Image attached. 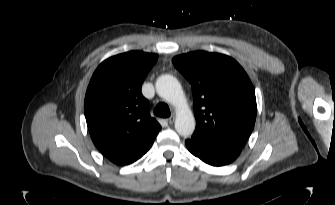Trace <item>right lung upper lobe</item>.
I'll return each mask as SVG.
<instances>
[{
    "mask_svg": "<svg viewBox=\"0 0 335 205\" xmlns=\"http://www.w3.org/2000/svg\"><path fill=\"white\" fill-rule=\"evenodd\" d=\"M157 58L141 51L110 57L98 66L87 88L84 112L91 139L117 165L142 157L161 129L141 93Z\"/></svg>",
    "mask_w": 335,
    "mask_h": 205,
    "instance_id": "1",
    "label": "right lung upper lobe"
}]
</instances>
